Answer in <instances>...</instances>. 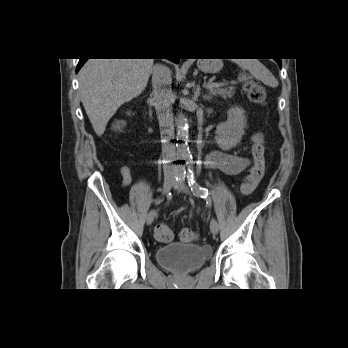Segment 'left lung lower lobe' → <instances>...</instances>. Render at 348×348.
<instances>
[{"label": "left lung lower lobe", "mask_w": 348, "mask_h": 348, "mask_svg": "<svg viewBox=\"0 0 348 348\" xmlns=\"http://www.w3.org/2000/svg\"><path fill=\"white\" fill-rule=\"evenodd\" d=\"M276 62L278 63V65L280 66V68H281V60L279 59V60H276Z\"/></svg>", "instance_id": "1"}]
</instances>
